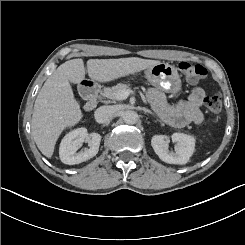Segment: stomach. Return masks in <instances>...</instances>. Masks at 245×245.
Returning <instances> with one entry per match:
<instances>
[{
    "label": "stomach",
    "instance_id": "stomach-1",
    "mask_svg": "<svg viewBox=\"0 0 245 245\" xmlns=\"http://www.w3.org/2000/svg\"><path fill=\"white\" fill-rule=\"evenodd\" d=\"M139 73L137 71L129 75V79L137 78ZM146 80L154 87L166 91L176 92L180 88V80L176 69L167 63H158L144 69ZM97 85L96 81H93ZM91 87L85 84V81L79 83L78 89L87 90Z\"/></svg>",
    "mask_w": 245,
    "mask_h": 245
}]
</instances>
